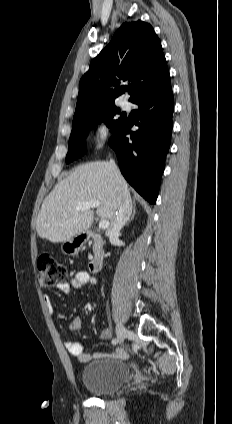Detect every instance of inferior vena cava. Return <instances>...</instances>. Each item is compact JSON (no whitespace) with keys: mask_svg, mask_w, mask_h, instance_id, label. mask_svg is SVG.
<instances>
[{"mask_svg":"<svg viewBox=\"0 0 232 424\" xmlns=\"http://www.w3.org/2000/svg\"><path fill=\"white\" fill-rule=\"evenodd\" d=\"M110 166L116 175H119V170L113 160H110ZM132 212V201L129 194H124L123 201L119 203V206L111 219V224L106 231L107 236L117 235L121 228L128 221Z\"/></svg>","mask_w":232,"mask_h":424,"instance_id":"602c4592","label":"inferior vena cava"}]
</instances>
